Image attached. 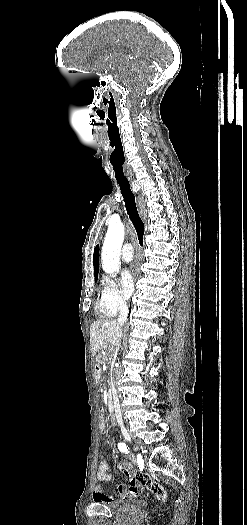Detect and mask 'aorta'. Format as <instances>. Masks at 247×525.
<instances>
[{
    "label": "aorta",
    "mask_w": 247,
    "mask_h": 525,
    "mask_svg": "<svg viewBox=\"0 0 247 525\" xmlns=\"http://www.w3.org/2000/svg\"><path fill=\"white\" fill-rule=\"evenodd\" d=\"M124 234L123 224L109 225L102 247L101 262L103 270L110 275H114L119 268Z\"/></svg>",
    "instance_id": "762f6f07"
}]
</instances>
